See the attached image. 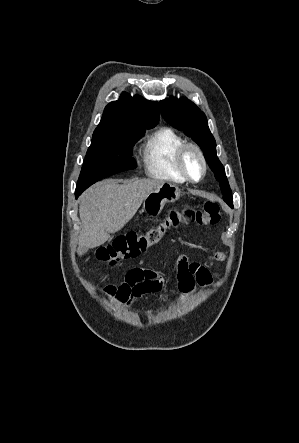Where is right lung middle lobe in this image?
<instances>
[{"label":"right lung middle lobe","instance_id":"1","mask_svg":"<svg viewBox=\"0 0 299 443\" xmlns=\"http://www.w3.org/2000/svg\"><path fill=\"white\" fill-rule=\"evenodd\" d=\"M155 124L144 125L135 130H122L93 136L78 179L75 193H82L95 182L113 174L134 169L132 149L145 129Z\"/></svg>","mask_w":299,"mask_h":443}]
</instances>
